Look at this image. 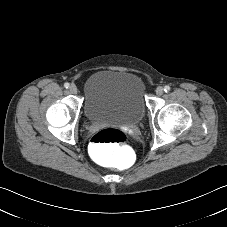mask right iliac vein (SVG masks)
Here are the masks:
<instances>
[{
	"label": "right iliac vein",
	"instance_id": "63e3f726",
	"mask_svg": "<svg viewBox=\"0 0 227 227\" xmlns=\"http://www.w3.org/2000/svg\"><path fill=\"white\" fill-rule=\"evenodd\" d=\"M69 91H70L72 94H77L78 89H77L76 85L72 84V85L69 87Z\"/></svg>",
	"mask_w": 227,
	"mask_h": 227
}]
</instances>
